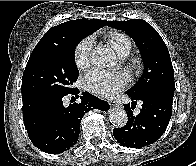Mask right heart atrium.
Masks as SVG:
<instances>
[{
	"label": "right heart atrium",
	"instance_id": "1",
	"mask_svg": "<svg viewBox=\"0 0 196 166\" xmlns=\"http://www.w3.org/2000/svg\"><path fill=\"white\" fill-rule=\"evenodd\" d=\"M93 47V38L82 39L74 49V61L78 68L84 69L90 65Z\"/></svg>",
	"mask_w": 196,
	"mask_h": 166
}]
</instances>
